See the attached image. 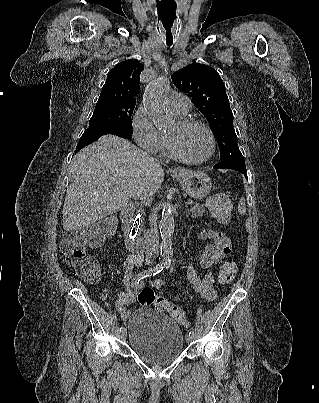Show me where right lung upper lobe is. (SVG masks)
Returning <instances> with one entry per match:
<instances>
[{"mask_svg": "<svg viewBox=\"0 0 319 403\" xmlns=\"http://www.w3.org/2000/svg\"><path fill=\"white\" fill-rule=\"evenodd\" d=\"M144 66L136 59L118 63L107 75L97 103L134 104Z\"/></svg>", "mask_w": 319, "mask_h": 403, "instance_id": "cb5924a9", "label": "right lung upper lobe"}]
</instances>
